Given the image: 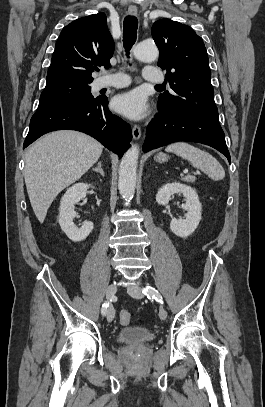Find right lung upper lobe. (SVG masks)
Instances as JSON below:
<instances>
[{
    "label": "right lung upper lobe",
    "mask_w": 265,
    "mask_h": 407,
    "mask_svg": "<svg viewBox=\"0 0 265 407\" xmlns=\"http://www.w3.org/2000/svg\"><path fill=\"white\" fill-rule=\"evenodd\" d=\"M114 42L107 29L106 15L79 18L60 33L47 74V82L73 80L92 82L96 65L110 67Z\"/></svg>",
    "instance_id": "right-lung-upper-lobe-1"
}]
</instances>
